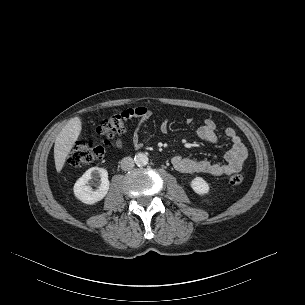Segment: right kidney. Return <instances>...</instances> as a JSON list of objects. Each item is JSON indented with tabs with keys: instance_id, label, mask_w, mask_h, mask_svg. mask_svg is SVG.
I'll return each mask as SVG.
<instances>
[{
	"instance_id": "right-kidney-1",
	"label": "right kidney",
	"mask_w": 305,
	"mask_h": 305,
	"mask_svg": "<svg viewBox=\"0 0 305 305\" xmlns=\"http://www.w3.org/2000/svg\"><path fill=\"white\" fill-rule=\"evenodd\" d=\"M100 178L97 189L93 190L88 182L91 179L97 180ZM108 172L106 169L92 167L88 169L75 183L74 195L77 199L85 204H94L102 200L109 190Z\"/></svg>"
}]
</instances>
